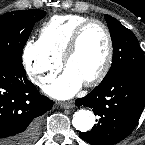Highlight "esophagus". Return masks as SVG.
Here are the masks:
<instances>
[{"label": "esophagus", "mask_w": 145, "mask_h": 145, "mask_svg": "<svg viewBox=\"0 0 145 145\" xmlns=\"http://www.w3.org/2000/svg\"><path fill=\"white\" fill-rule=\"evenodd\" d=\"M60 106L66 109H70L72 107H74V103L72 101H68V102H61Z\"/></svg>", "instance_id": "34e87169"}]
</instances>
